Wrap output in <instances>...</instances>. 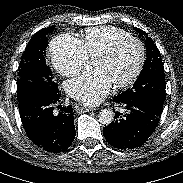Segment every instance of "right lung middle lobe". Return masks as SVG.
Listing matches in <instances>:
<instances>
[{
    "label": "right lung middle lobe",
    "mask_w": 183,
    "mask_h": 183,
    "mask_svg": "<svg viewBox=\"0 0 183 183\" xmlns=\"http://www.w3.org/2000/svg\"><path fill=\"white\" fill-rule=\"evenodd\" d=\"M55 26L43 28L29 41L18 67L17 99L23 102L34 94L53 95L59 91L46 65L47 35Z\"/></svg>",
    "instance_id": "right-lung-middle-lobe-1"
}]
</instances>
